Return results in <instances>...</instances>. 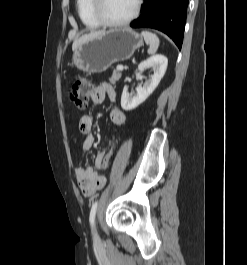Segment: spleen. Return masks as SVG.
<instances>
[{"label":"spleen","mask_w":247,"mask_h":265,"mask_svg":"<svg viewBox=\"0 0 247 265\" xmlns=\"http://www.w3.org/2000/svg\"><path fill=\"white\" fill-rule=\"evenodd\" d=\"M141 35L143 36L145 43L149 45L148 54H155L160 44L159 38L149 31H142Z\"/></svg>","instance_id":"1"}]
</instances>
